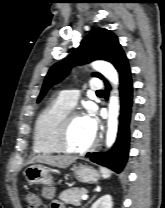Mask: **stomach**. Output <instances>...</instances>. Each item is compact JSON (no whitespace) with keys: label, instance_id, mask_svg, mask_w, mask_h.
<instances>
[{"label":"stomach","instance_id":"0dacf381","mask_svg":"<svg viewBox=\"0 0 165 208\" xmlns=\"http://www.w3.org/2000/svg\"><path fill=\"white\" fill-rule=\"evenodd\" d=\"M74 174L82 183L96 182L100 179V173L86 165H79L74 168ZM24 176L29 185L51 186L53 184L52 169L40 164H33L24 170Z\"/></svg>","mask_w":165,"mask_h":208}]
</instances>
